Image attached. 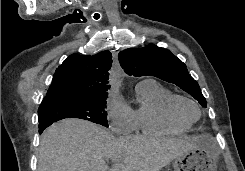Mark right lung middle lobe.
Segmentation results:
<instances>
[{"mask_svg":"<svg viewBox=\"0 0 245 171\" xmlns=\"http://www.w3.org/2000/svg\"><path fill=\"white\" fill-rule=\"evenodd\" d=\"M107 94L88 99H57L41 103L39 123L55 122L64 118H80L108 127Z\"/></svg>","mask_w":245,"mask_h":171,"instance_id":"dd1d6c3e","label":"right lung middle lobe"}]
</instances>
